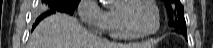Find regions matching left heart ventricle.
<instances>
[{
    "label": "left heart ventricle",
    "mask_w": 213,
    "mask_h": 48,
    "mask_svg": "<svg viewBox=\"0 0 213 48\" xmlns=\"http://www.w3.org/2000/svg\"><path fill=\"white\" fill-rule=\"evenodd\" d=\"M126 15L132 26L139 32H150L155 27V13L153 8L144 1L133 3Z\"/></svg>",
    "instance_id": "1"
}]
</instances>
